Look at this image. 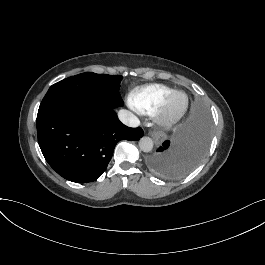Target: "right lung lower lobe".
Wrapping results in <instances>:
<instances>
[{
	"instance_id": "right-lung-lower-lobe-1",
	"label": "right lung lower lobe",
	"mask_w": 265,
	"mask_h": 265,
	"mask_svg": "<svg viewBox=\"0 0 265 265\" xmlns=\"http://www.w3.org/2000/svg\"><path fill=\"white\" fill-rule=\"evenodd\" d=\"M37 133L50 166L67 180L85 183L105 171L118 141H137L144 132L121 123L114 109L57 95L40 104Z\"/></svg>"
}]
</instances>
